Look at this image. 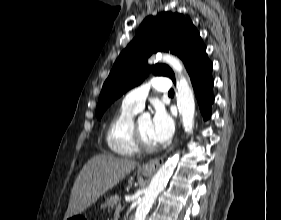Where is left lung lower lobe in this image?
Returning <instances> with one entry per match:
<instances>
[{
  "instance_id": "0a47b994",
  "label": "left lung lower lobe",
  "mask_w": 281,
  "mask_h": 220,
  "mask_svg": "<svg viewBox=\"0 0 281 220\" xmlns=\"http://www.w3.org/2000/svg\"><path fill=\"white\" fill-rule=\"evenodd\" d=\"M196 94L200 111L205 120L211 115V105L214 102L212 88V63L206 52L192 59L186 66Z\"/></svg>"
}]
</instances>
